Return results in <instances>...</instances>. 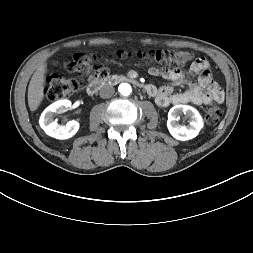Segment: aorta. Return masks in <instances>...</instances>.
<instances>
[{
	"instance_id": "obj_1",
	"label": "aorta",
	"mask_w": 253,
	"mask_h": 253,
	"mask_svg": "<svg viewBox=\"0 0 253 253\" xmlns=\"http://www.w3.org/2000/svg\"><path fill=\"white\" fill-rule=\"evenodd\" d=\"M118 90L123 96H128L132 92V88L128 83H121L118 87Z\"/></svg>"
}]
</instances>
